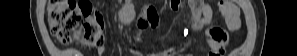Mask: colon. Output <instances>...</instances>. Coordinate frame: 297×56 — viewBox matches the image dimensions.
<instances>
[{"label": "colon", "mask_w": 297, "mask_h": 56, "mask_svg": "<svg viewBox=\"0 0 297 56\" xmlns=\"http://www.w3.org/2000/svg\"><path fill=\"white\" fill-rule=\"evenodd\" d=\"M226 3H221L224 6ZM48 22L52 35L63 45L79 41L85 46L100 48L104 44V23L101 12L82 0H50ZM240 21H238L237 29ZM223 53H212L221 56Z\"/></svg>", "instance_id": "obj_1"}]
</instances>
